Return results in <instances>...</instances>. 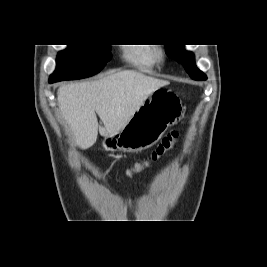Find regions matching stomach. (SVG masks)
I'll list each match as a JSON object with an SVG mask.
<instances>
[{"label": "stomach", "instance_id": "0dacf381", "mask_svg": "<svg viewBox=\"0 0 267 267\" xmlns=\"http://www.w3.org/2000/svg\"><path fill=\"white\" fill-rule=\"evenodd\" d=\"M183 115L180 99L172 92L159 88L116 134L104 138L107 151L138 152L156 144L168 127L177 124Z\"/></svg>", "mask_w": 267, "mask_h": 267}]
</instances>
